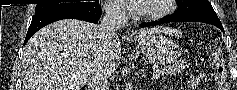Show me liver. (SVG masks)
I'll return each mask as SVG.
<instances>
[{"label":"liver","mask_w":237,"mask_h":90,"mask_svg":"<svg viewBox=\"0 0 237 90\" xmlns=\"http://www.w3.org/2000/svg\"><path fill=\"white\" fill-rule=\"evenodd\" d=\"M156 28L143 30L135 36V42L147 34H155ZM97 24L81 20H59L45 26L28 40L20 66L22 90H82L88 82V68L101 58L102 40ZM131 36L122 42L129 44ZM119 38H112L109 46H103L110 68H118L121 58Z\"/></svg>","instance_id":"1"}]
</instances>
